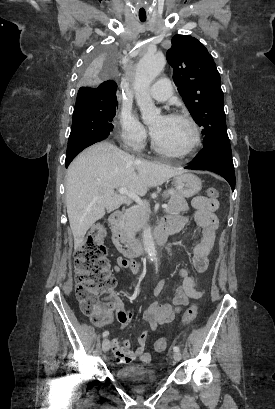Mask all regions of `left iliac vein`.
Masks as SVG:
<instances>
[{"label":"left iliac vein","mask_w":275,"mask_h":409,"mask_svg":"<svg viewBox=\"0 0 275 409\" xmlns=\"http://www.w3.org/2000/svg\"><path fill=\"white\" fill-rule=\"evenodd\" d=\"M173 358L175 359V361H180L182 358L181 353L179 351L174 352Z\"/></svg>","instance_id":"obj_1"}]
</instances>
